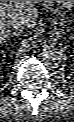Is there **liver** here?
Returning <instances> with one entry per match:
<instances>
[{"instance_id":"liver-1","label":"liver","mask_w":74,"mask_h":122,"mask_svg":"<svg viewBox=\"0 0 74 122\" xmlns=\"http://www.w3.org/2000/svg\"><path fill=\"white\" fill-rule=\"evenodd\" d=\"M37 1H10L0 6V40L9 32L10 21L14 16H23L28 21V27H34L38 17V9L34 3Z\"/></svg>"}]
</instances>
